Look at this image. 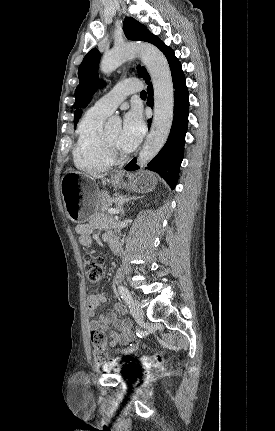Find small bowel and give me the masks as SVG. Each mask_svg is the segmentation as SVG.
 Here are the masks:
<instances>
[{"label":"small bowel","instance_id":"1","mask_svg":"<svg viewBox=\"0 0 275 431\" xmlns=\"http://www.w3.org/2000/svg\"><path fill=\"white\" fill-rule=\"evenodd\" d=\"M96 228H101L104 231L103 238L110 246L118 251L119 243L113 237L110 225L101 218H95L87 224H80L76 227V232L79 234V242L83 246H89L92 243V231ZM106 305L105 297L100 293H92L87 299V312L91 321L89 322V329H101L108 331L110 335V345L115 347L119 345H126L131 342L134 335L131 329V323L128 320L120 319L123 309L120 305H116L112 311H107L96 316L99 308Z\"/></svg>","mask_w":275,"mask_h":431}]
</instances>
